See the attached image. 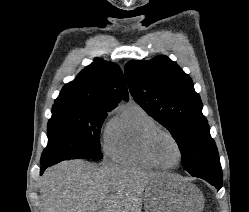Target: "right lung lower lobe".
Returning a JSON list of instances; mask_svg holds the SVG:
<instances>
[{
	"label": "right lung lower lobe",
	"mask_w": 249,
	"mask_h": 212,
	"mask_svg": "<svg viewBox=\"0 0 249 212\" xmlns=\"http://www.w3.org/2000/svg\"><path fill=\"white\" fill-rule=\"evenodd\" d=\"M54 164H56V163H55V162H44V163H41L40 174H42L43 171H44L47 167L52 166V165H54Z\"/></svg>",
	"instance_id": "98d812e1"
}]
</instances>
